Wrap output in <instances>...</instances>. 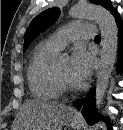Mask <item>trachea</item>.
<instances>
[{
	"mask_svg": "<svg viewBox=\"0 0 123 130\" xmlns=\"http://www.w3.org/2000/svg\"><path fill=\"white\" fill-rule=\"evenodd\" d=\"M94 40L99 41V40H101V37H100L99 35H97V36L94 38Z\"/></svg>",
	"mask_w": 123,
	"mask_h": 130,
	"instance_id": "1",
	"label": "trachea"
}]
</instances>
